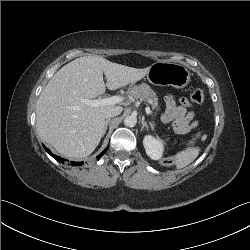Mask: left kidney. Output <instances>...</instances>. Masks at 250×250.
Listing matches in <instances>:
<instances>
[{"label": "left kidney", "mask_w": 250, "mask_h": 250, "mask_svg": "<svg viewBox=\"0 0 250 250\" xmlns=\"http://www.w3.org/2000/svg\"><path fill=\"white\" fill-rule=\"evenodd\" d=\"M143 145L147 155L153 160L161 159L164 151L163 142L159 138L152 135H146L143 140Z\"/></svg>", "instance_id": "obj_1"}]
</instances>
